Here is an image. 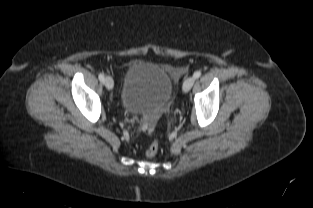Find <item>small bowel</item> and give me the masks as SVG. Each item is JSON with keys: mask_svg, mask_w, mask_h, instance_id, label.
Returning a JSON list of instances; mask_svg holds the SVG:
<instances>
[{"mask_svg": "<svg viewBox=\"0 0 313 208\" xmlns=\"http://www.w3.org/2000/svg\"><path fill=\"white\" fill-rule=\"evenodd\" d=\"M173 74H174L175 77H178V76H179V72H177V71L174 72Z\"/></svg>", "mask_w": 313, "mask_h": 208, "instance_id": "1", "label": "small bowel"}]
</instances>
